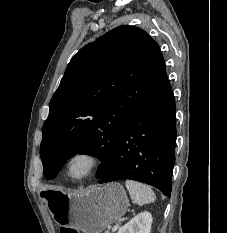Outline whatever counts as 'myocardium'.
<instances>
[{
  "mask_svg": "<svg viewBox=\"0 0 227 233\" xmlns=\"http://www.w3.org/2000/svg\"><path fill=\"white\" fill-rule=\"evenodd\" d=\"M78 158H84L88 161V169L80 176H74L71 172L73 162ZM101 156L94 150L84 148L73 152L66 160V174L74 181H83L93 176L102 165Z\"/></svg>",
  "mask_w": 227,
  "mask_h": 233,
  "instance_id": "obj_1",
  "label": "myocardium"
}]
</instances>
